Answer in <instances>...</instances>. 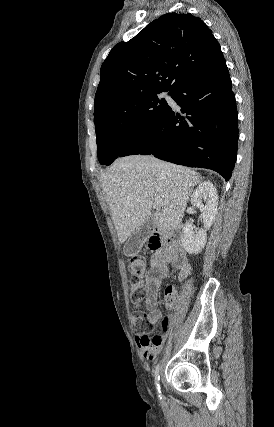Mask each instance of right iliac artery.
<instances>
[{"mask_svg":"<svg viewBox=\"0 0 274 427\" xmlns=\"http://www.w3.org/2000/svg\"><path fill=\"white\" fill-rule=\"evenodd\" d=\"M159 380H160V375H159V365L156 366L155 371H154V381H155V386L157 389V393H158V397L161 399V390H160V384H159Z\"/></svg>","mask_w":274,"mask_h":427,"instance_id":"right-iliac-artery-1","label":"right iliac artery"}]
</instances>
